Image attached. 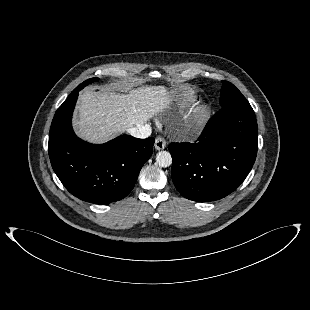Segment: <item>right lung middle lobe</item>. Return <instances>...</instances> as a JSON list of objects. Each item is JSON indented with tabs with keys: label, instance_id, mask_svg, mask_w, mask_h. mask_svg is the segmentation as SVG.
Listing matches in <instances>:
<instances>
[{
	"label": "right lung middle lobe",
	"instance_id": "obj_1",
	"mask_svg": "<svg viewBox=\"0 0 310 310\" xmlns=\"http://www.w3.org/2000/svg\"><path fill=\"white\" fill-rule=\"evenodd\" d=\"M97 80H98V78L88 79V80L84 81L83 83H81L77 88L81 90L82 88H84L89 83H92V82L97 81Z\"/></svg>",
	"mask_w": 310,
	"mask_h": 310
}]
</instances>
